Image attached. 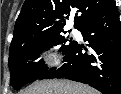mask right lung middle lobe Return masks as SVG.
Listing matches in <instances>:
<instances>
[{
  "label": "right lung middle lobe",
  "mask_w": 121,
  "mask_h": 94,
  "mask_svg": "<svg viewBox=\"0 0 121 94\" xmlns=\"http://www.w3.org/2000/svg\"><path fill=\"white\" fill-rule=\"evenodd\" d=\"M61 33L66 32L64 30L33 31L11 44L8 64L11 74L10 83L14 89L19 90L25 84L38 80L48 70L42 60H37L43 48L51 44H63L61 50L65 55L71 50L76 41L66 39ZM67 41L70 43L65 44Z\"/></svg>",
  "instance_id": "obj_1"
}]
</instances>
